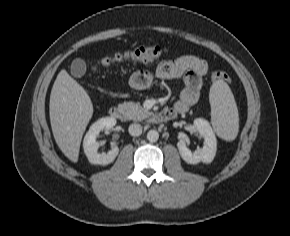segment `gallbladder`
<instances>
[{"label":"gallbladder","instance_id":"bac80fb5","mask_svg":"<svg viewBox=\"0 0 290 236\" xmlns=\"http://www.w3.org/2000/svg\"><path fill=\"white\" fill-rule=\"evenodd\" d=\"M70 70L74 77H81L86 72V64L82 59L77 58L73 60Z\"/></svg>","mask_w":290,"mask_h":236}]
</instances>
